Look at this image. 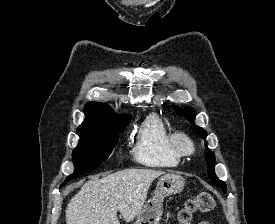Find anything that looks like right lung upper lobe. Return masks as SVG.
I'll return each instance as SVG.
<instances>
[{
	"mask_svg": "<svg viewBox=\"0 0 275 224\" xmlns=\"http://www.w3.org/2000/svg\"><path fill=\"white\" fill-rule=\"evenodd\" d=\"M85 115L86 119L79 128L108 126L130 121L129 116L118 115L106 104L96 102L85 105Z\"/></svg>",
	"mask_w": 275,
	"mask_h": 224,
	"instance_id": "obj_1",
	"label": "right lung upper lobe"
}]
</instances>
